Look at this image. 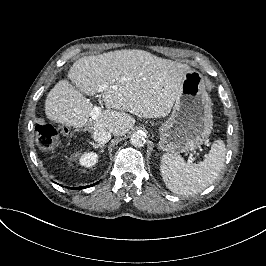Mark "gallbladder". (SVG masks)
<instances>
[{
  "label": "gallbladder",
  "mask_w": 266,
  "mask_h": 266,
  "mask_svg": "<svg viewBox=\"0 0 266 266\" xmlns=\"http://www.w3.org/2000/svg\"><path fill=\"white\" fill-rule=\"evenodd\" d=\"M76 90H77L78 92L82 93V91H81L80 89L76 88Z\"/></svg>",
  "instance_id": "obj_1"
}]
</instances>
